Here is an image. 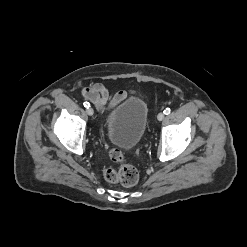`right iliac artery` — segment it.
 Instances as JSON below:
<instances>
[{
    "mask_svg": "<svg viewBox=\"0 0 247 247\" xmlns=\"http://www.w3.org/2000/svg\"><path fill=\"white\" fill-rule=\"evenodd\" d=\"M83 105H84L85 107H87V108L90 107V103H89V102H84Z\"/></svg>",
    "mask_w": 247,
    "mask_h": 247,
    "instance_id": "right-iliac-artery-1",
    "label": "right iliac artery"
}]
</instances>
